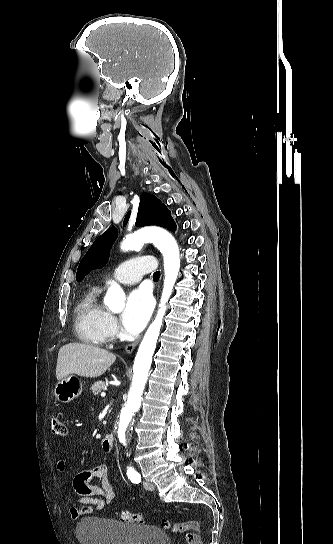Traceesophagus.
<instances>
[{
    "instance_id": "34e87169",
    "label": "esophagus",
    "mask_w": 333,
    "mask_h": 544,
    "mask_svg": "<svg viewBox=\"0 0 333 544\" xmlns=\"http://www.w3.org/2000/svg\"><path fill=\"white\" fill-rule=\"evenodd\" d=\"M139 341H140V338L137 339L136 341L128 344L125 347V350H124L125 354H127V355L131 354L134 351V349L136 348V346L138 345Z\"/></svg>"
}]
</instances>
